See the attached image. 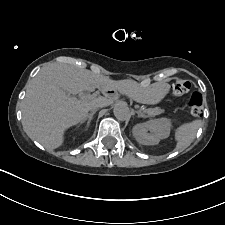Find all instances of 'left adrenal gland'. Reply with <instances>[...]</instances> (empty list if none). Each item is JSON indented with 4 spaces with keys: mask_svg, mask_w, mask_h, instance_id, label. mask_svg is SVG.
<instances>
[{
    "mask_svg": "<svg viewBox=\"0 0 225 225\" xmlns=\"http://www.w3.org/2000/svg\"><path fill=\"white\" fill-rule=\"evenodd\" d=\"M137 114H138V117L147 118V116L141 112H137Z\"/></svg>",
    "mask_w": 225,
    "mask_h": 225,
    "instance_id": "1",
    "label": "left adrenal gland"
}]
</instances>
